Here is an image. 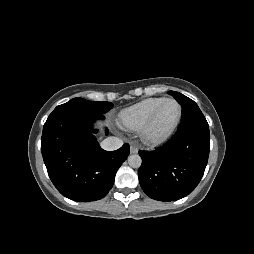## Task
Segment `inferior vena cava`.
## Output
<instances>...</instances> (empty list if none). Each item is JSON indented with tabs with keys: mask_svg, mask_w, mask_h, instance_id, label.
Here are the masks:
<instances>
[{
	"mask_svg": "<svg viewBox=\"0 0 254 254\" xmlns=\"http://www.w3.org/2000/svg\"><path fill=\"white\" fill-rule=\"evenodd\" d=\"M123 145V141L118 137H108L101 142V147L107 151L119 149Z\"/></svg>",
	"mask_w": 254,
	"mask_h": 254,
	"instance_id": "obj_1",
	"label": "inferior vena cava"
}]
</instances>
